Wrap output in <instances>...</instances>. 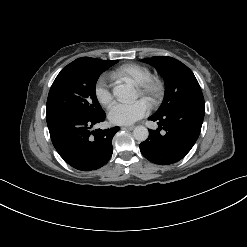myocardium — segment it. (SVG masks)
Returning <instances> with one entry per match:
<instances>
[{"instance_id":"obj_1","label":"myocardium","mask_w":247,"mask_h":247,"mask_svg":"<svg viewBox=\"0 0 247 247\" xmlns=\"http://www.w3.org/2000/svg\"><path fill=\"white\" fill-rule=\"evenodd\" d=\"M164 90L163 80L156 76H151L145 82L138 85L139 94L152 104L157 103L161 99Z\"/></svg>"}]
</instances>
